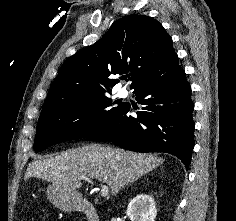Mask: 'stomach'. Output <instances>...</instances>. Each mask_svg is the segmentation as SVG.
<instances>
[{
	"mask_svg": "<svg viewBox=\"0 0 236 221\" xmlns=\"http://www.w3.org/2000/svg\"><path fill=\"white\" fill-rule=\"evenodd\" d=\"M49 200L59 209L64 211L76 210L82 200L80 193L69 191L57 184H51L47 188Z\"/></svg>",
	"mask_w": 236,
	"mask_h": 221,
	"instance_id": "obj_1",
	"label": "stomach"
}]
</instances>
